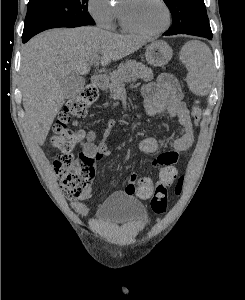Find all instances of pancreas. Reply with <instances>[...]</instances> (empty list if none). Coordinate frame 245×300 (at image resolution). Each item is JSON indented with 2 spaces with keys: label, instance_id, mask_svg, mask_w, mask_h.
Here are the masks:
<instances>
[{
  "label": "pancreas",
  "instance_id": "cf45deb5",
  "mask_svg": "<svg viewBox=\"0 0 245 300\" xmlns=\"http://www.w3.org/2000/svg\"><path fill=\"white\" fill-rule=\"evenodd\" d=\"M109 78L111 80L109 89L113 93V98L117 99L125 82L135 81L139 78L144 81H151L153 79V71L142 63L128 60L122 63L116 71H113Z\"/></svg>",
  "mask_w": 245,
  "mask_h": 300
}]
</instances>
